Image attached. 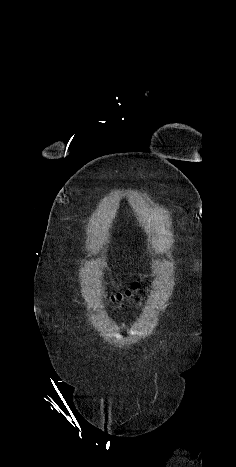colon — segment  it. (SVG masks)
Listing matches in <instances>:
<instances>
[{"instance_id":"obj_1","label":"colon","mask_w":236,"mask_h":467,"mask_svg":"<svg viewBox=\"0 0 236 467\" xmlns=\"http://www.w3.org/2000/svg\"><path fill=\"white\" fill-rule=\"evenodd\" d=\"M139 284L137 282L133 283L130 288H127L126 290L122 292H118L114 295H112L111 299L114 302H122L123 300L130 299L134 292L138 289Z\"/></svg>"}]
</instances>
